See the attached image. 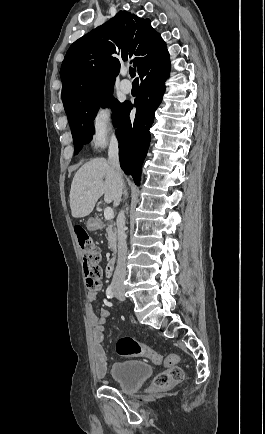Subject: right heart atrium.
<instances>
[{"label": "right heart atrium", "mask_w": 265, "mask_h": 434, "mask_svg": "<svg viewBox=\"0 0 265 434\" xmlns=\"http://www.w3.org/2000/svg\"><path fill=\"white\" fill-rule=\"evenodd\" d=\"M102 113H113V108H102ZM91 125L88 128L89 140L93 141L91 151L96 153L98 148H121V139H115V134L110 131L118 130V123L111 115H94L91 117Z\"/></svg>", "instance_id": "obj_1"}]
</instances>
